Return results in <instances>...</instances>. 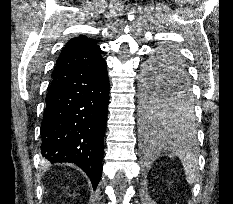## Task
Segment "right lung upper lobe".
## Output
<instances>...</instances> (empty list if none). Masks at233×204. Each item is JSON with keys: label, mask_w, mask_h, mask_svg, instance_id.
<instances>
[{"label": "right lung upper lobe", "mask_w": 233, "mask_h": 204, "mask_svg": "<svg viewBox=\"0 0 233 204\" xmlns=\"http://www.w3.org/2000/svg\"><path fill=\"white\" fill-rule=\"evenodd\" d=\"M101 49L96 42L80 35L66 43L60 53L50 87L58 85L68 77L73 70L80 67L96 68L105 63L100 55Z\"/></svg>", "instance_id": "right-lung-upper-lobe-1"}]
</instances>
